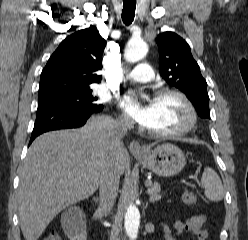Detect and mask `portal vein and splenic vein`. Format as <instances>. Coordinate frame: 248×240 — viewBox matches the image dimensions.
I'll return each mask as SVG.
<instances>
[{"instance_id":"18ae733b","label":"portal vein and splenic vein","mask_w":248,"mask_h":240,"mask_svg":"<svg viewBox=\"0 0 248 240\" xmlns=\"http://www.w3.org/2000/svg\"><path fill=\"white\" fill-rule=\"evenodd\" d=\"M151 184H152L151 181H146V182H145V185H146V186H150Z\"/></svg>"}]
</instances>
